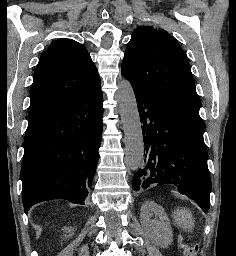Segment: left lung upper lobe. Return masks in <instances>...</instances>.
<instances>
[{"instance_id": "left-lung-upper-lobe-1", "label": "left lung upper lobe", "mask_w": 236, "mask_h": 256, "mask_svg": "<svg viewBox=\"0 0 236 256\" xmlns=\"http://www.w3.org/2000/svg\"><path fill=\"white\" fill-rule=\"evenodd\" d=\"M121 73L132 87L199 113L201 101L188 59L166 31L138 27L128 43Z\"/></svg>"}]
</instances>
